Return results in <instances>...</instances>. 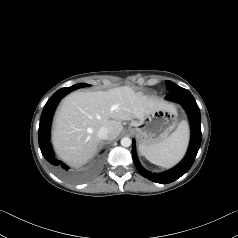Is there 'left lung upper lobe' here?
Returning <instances> with one entry per match:
<instances>
[{
	"label": "left lung upper lobe",
	"instance_id": "5c2ea615",
	"mask_svg": "<svg viewBox=\"0 0 238 238\" xmlns=\"http://www.w3.org/2000/svg\"><path fill=\"white\" fill-rule=\"evenodd\" d=\"M166 88H167L168 91H173V90L179 88V86L176 85L175 83H173L172 81L167 80L166 81Z\"/></svg>",
	"mask_w": 238,
	"mask_h": 238
}]
</instances>
